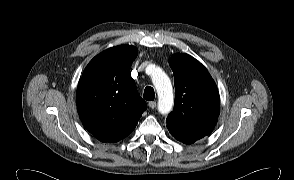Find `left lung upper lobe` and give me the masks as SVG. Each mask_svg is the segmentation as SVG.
<instances>
[{
  "label": "left lung upper lobe",
  "mask_w": 294,
  "mask_h": 180,
  "mask_svg": "<svg viewBox=\"0 0 294 180\" xmlns=\"http://www.w3.org/2000/svg\"><path fill=\"white\" fill-rule=\"evenodd\" d=\"M174 74V110L166 119L171 134L203 138L218 120L220 97L207 69L188 54H175L169 60Z\"/></svg>",
  "instance_id": "5c2ea615"
}]
</instances>
